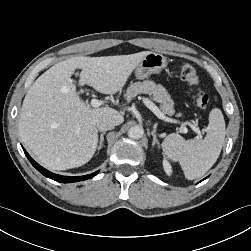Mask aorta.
<instances>
[{
    "label": "aorta",
    "instance_id": "1",
    "mask_svg": "<svg viewBox=\"0 0 251 251\" xmlns=\"http://www.w3.org/2000/svg\"><path fill=\"white\" fill-rule=\"evenodd\" d=\"M144 134V129L142 126L140 125H135L132 126L129 130H128V136L132 139L138 140L140 139Z\"/></svg>",
    "mask_w": 251,
    "mask_h": 251
}]
</instances>
